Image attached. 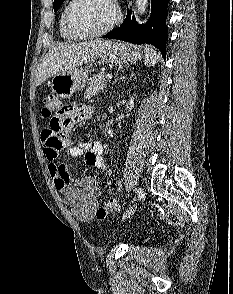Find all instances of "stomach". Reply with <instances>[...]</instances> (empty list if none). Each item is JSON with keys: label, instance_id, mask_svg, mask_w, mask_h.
<instances>
[{"label": "stomach", "instance_id": "1", "mask_svg": "<svg viewBox=\"0 0 233 294\" xmlns=\"http://www.w3.org/2000/svg\"><path fill=\"white\" fill-rule=\"evenodd\" d=\"M140 49L128 43L117 42L113 44L98 61V64H128L141 58ZM92 62L89 67H92ZM89 70L76 67L53 76L50 86L53 92L60 98L67 99L76 91L81 90L88 81Z\"/></svg>", "mask_w": 233, "mask_h": 294}]
</instances>
